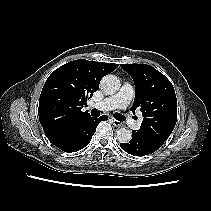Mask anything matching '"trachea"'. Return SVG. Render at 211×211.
Listing matches in <instances>:
<instances>
[{"mask_svg":"<svg viewBox=\"0 0 211 211\" xmlns=\"http://www.w3.org/2000/svg\"><path fill=\"white\" fill-rule=\"evenodd\" d=\"M91 115L94 116V117H98V116H100V112L97 111L96 109H92V110H91ZM113 116H114V118H115L116 120H118V121H123V120H125V116H124V115H121V114H119V113H115V114H113Z\"/></svg>","mask_w":211,"mask_h":211,"instance_id":"3493384b","label":"trachea"}]
</instances>
